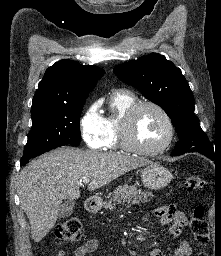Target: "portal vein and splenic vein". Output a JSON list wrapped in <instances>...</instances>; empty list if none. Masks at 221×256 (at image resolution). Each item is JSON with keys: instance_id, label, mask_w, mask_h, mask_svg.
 <instances>
[{"instance_id": "portal-vein-and-splenic-vein-1", "label": "portal vein and splenic vein", "mask_w": 221, "mask_h": 256, "mask_svg": "<svg viewBox=\"0 0 221 256\" xmlns=\"http://www.w3.org/2000/svg\"><path fill=\"white\" fill-rule=\"evenodd\" d=\"M89 182H90L89 179H84V180H83V183H84V184H88Z\"/></svg>"}]
</instances>
